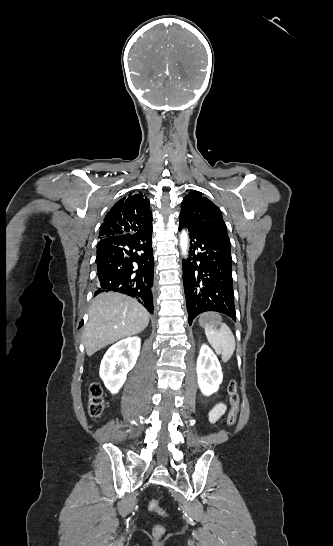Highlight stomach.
Returning a JSON list of instances; mask_svg holds the SVG:
<instances>
[{"mask_svg": "<svg viewBox=\"0 0 333 546\" xmlns=\"http://www.w3.org/2000/svg\"><path fill=\"white\" fill-rule=\"evenodd\" d=\"M199 323L202 327H205L207 323H213L216 328L219 327L216 317L214 316V314L210 313L202 315L199 319Z\"/></svg>", "mask_w": 333, "mask_h": 546, "instance_id": "stomach-1", "label": "stomach"}]
</instances>
